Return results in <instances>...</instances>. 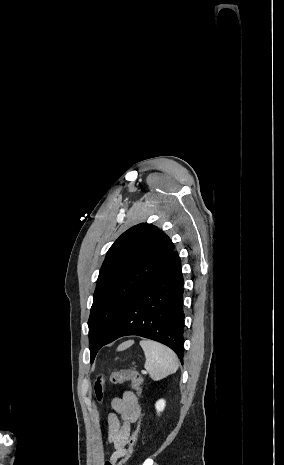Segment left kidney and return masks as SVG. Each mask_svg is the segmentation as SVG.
<instances>
[{
  "mask_svg": "<svg viewBox=\"0 0 284 465\" xmlns=\"http://www.w3.org/2000/svg\"><path fill=\"white\" fill-rule=\"evenodd\" d=\"M165 407H166V401H164V399H160V401H157L155 405V409L156 411H158V413H160V411H164Z\"/></svg>",
  "mask_w": 284,
  "mask_h": 465,
  "instance_id": "1",
  "label": "left kidney"
}]
</instances>
